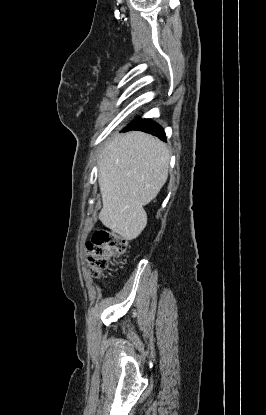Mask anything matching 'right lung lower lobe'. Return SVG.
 Returning <instances> with one entry per match:
<instances>
[{
  "label": "right lung lower lobe",
  "mask_w": 266,
  "mask_h": 415,
  "mask_svg": "<svg viewBox=\"0 0 266 415\" xmlns=\"http://www.w3.org/2000/svg\"><path fill=\"white\" fill-rule=\"evenodd\" d=\"M128 130L143 131L158 136L163 141L166 140V135L163 128L159 124L153 122L151 119L138 118L125 127L124 131Z\"/></svg>",
  "instance_id": "obj_1"
}]
</instances>
